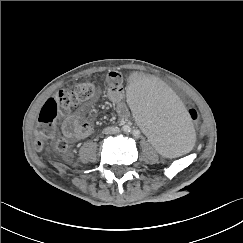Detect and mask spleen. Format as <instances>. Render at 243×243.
I'll return each instance as SVG.
<instances>
[{"mask_svg": "<svg viewBox=\"0 0 243 243\" xmlns=\"http://www.w3.org/2000/svg\"><path fill=\"white\" fill-rule=\"evenodd\" d=\"M125 101L157 152L179 157L190 150L194 130L185 105L159 79L151 75L135 77L126 87Z\"/></svg>", "mask_w": 243, "mask_h": 243, "instance_id": "1", "label": "spleen"}]
</instances>
